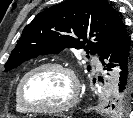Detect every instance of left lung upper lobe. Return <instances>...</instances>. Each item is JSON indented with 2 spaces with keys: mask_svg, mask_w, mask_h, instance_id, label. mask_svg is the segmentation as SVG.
I'll list each match as a JSON object with an SVG mask.
<instances>
[{
  "mask_svg": "<svg viewBox=\"0 0 133 118\" xmlns=\"http://www.w3.org/2000/svg\"><path fill=\"white\" fill-rule=\"evenodd\" d=\"M122 24L107 0H66L40 12L24 28L5 71L39 55L58 54L67 47L84 48L87 53L100 56ZM130 101L131 91L114 93L107 112L111 116L125 115Z\"/></svg>",
  "mask_w": 133,
  "mask_h": 118,
  "instance_id": "obj_1",
  "label": "left lung upper lobe"
}]
</instances>
